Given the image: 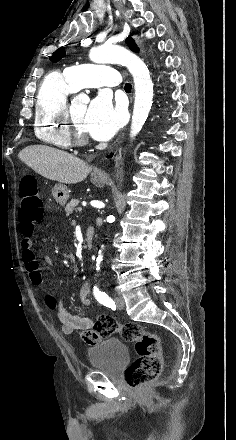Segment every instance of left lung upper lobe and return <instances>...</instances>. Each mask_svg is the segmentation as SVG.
Listing matches in <instances>:
<instances>
[{"instance_id": "obj_1", "label": "left lung upper lobe", "mask_w": 236, "mask_h": 440, "mask_svg": "<svg viewBox=\"0 0 236 440\" xmlns=\"http://www.w3.org/2000/svg\"><path fill=\"white\" fill-rule=\"evenodd\" d=\"M126 42L132 51L135 52L139 51V48L136 46V44L134 43L131 37H127ZM64 56H65V50L63 47H61L50 57V60L53 62H57Z\"/></svg>"}]
</instances>
